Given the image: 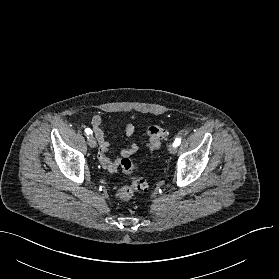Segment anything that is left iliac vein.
<instances>
[{
  "instance_id": "left-iliac-vein-1",
  "label": "left iliac vein",
  "mask_w": 279,
  "mask_h": 279,
  "mask_svg": "<svg viewBox=\"0 0 279 279\" xmlns=\"http://www.w3.org/2000/svg\"><path fill=\"white\" fill-rule=\"evenodd\" d=\"M168 150L171 154H175L177 152V148L173 144L169 145Z\"/></svg>"
}]
</instances>
